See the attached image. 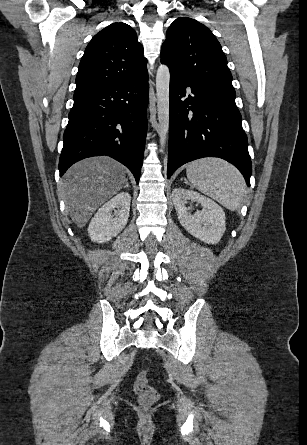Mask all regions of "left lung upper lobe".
Listing matches in <instances>:
<instances>
[{
    "label": "left lung upper lobe",
    "mask_w": 307,
    "mask_h": 445,
    "mask_svg": "<svg viewBox=\"0 0 307 445\" xmlns=\"http://www.w3.org/2000/svg\"><path fill=\"white\" fill-rule=\"evenodd\" d=\"M161 62L194 87L235 100L232 75L221 45L198 21L181 17L170 25L161 49Z\"/></svg>",
    "instance_id": "obj_1"
}]
</instances>
